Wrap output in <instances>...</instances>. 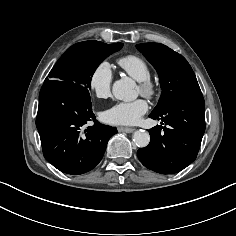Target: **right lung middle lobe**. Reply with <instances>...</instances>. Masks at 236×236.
<instances>
[{
  "instance_id": "obj_1",
  "label": "right lung middle lobe",
  "mask_w": 236,
  "mask_h": 236,
  "mask_svg": "<svg viewBox=\"0 0 236 236\" xmlns=\"http://www.w3.org/2000/svg\"><path fill=\"white\" fill-rule=\"evenodd\" d=\"M122 47V43L105 44L93 40L74 44L60 57L44 84L49 81L67 82L78 93L90 98L91 78L96 68Z\"/></svg>"
}]
</instances>
